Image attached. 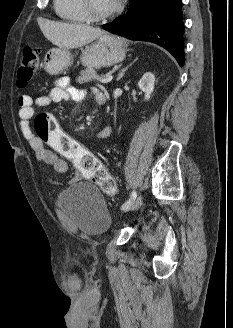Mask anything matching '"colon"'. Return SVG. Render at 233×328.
Wrapping results in <instances>:
<instances>
[{"label": "colon", "instance_id": "1", "mask_svg": "<svg viewBox=\"0 0 233 328\" xmlns=\"http://www.w3.org/2000/svg\"><path fill=\"white\" fill-rule=\"evenodd\" d=\"M38 61L37 50L30 45L25 46L17 72V85L20 88L26 87L34 78ZM34 125L37 137L59 155L71 161L84 177L91 179L108 195L117 193L116 182L103 164L94 154L66 134L52 115H37Z\"/></svg>", "mask_w": 233, "mask_h": 328}]
</instances>
